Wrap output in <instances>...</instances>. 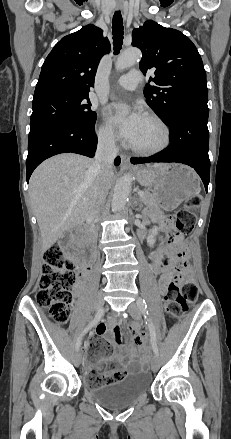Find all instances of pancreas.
I'll list each match as a JSON object with an SVG mask.
<instances>
[{"label":"pancreas","mask_w":231,"mask_h":439,"mask_svg":"<svg viewBox=\"0 0 231 439\" xmlns=\"http://www.w3.org/2000/svg\"><path fill=\"white\" fill-rule=\"evenodd\" d=\"M144 195L141 197V200L144 204L150 206H157V198L150 193L149 191H143Z\"/></svg>","instance_id":"pancreas-1"}]
</instances>
